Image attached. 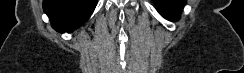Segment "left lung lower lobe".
Segmentation results:
<instances>
[{
	"mask_svg": "<svg viewBox=\"0 0 244 73\" xmlns=\"http://www.w3.org/2000/svg\"><path fill=\"white\" fill-rule=\"evenodd\" d=\"M158 12L166 19L175 21L185 4V0H153Z\"/></svg>",
	"mask_w": 244,
	"mask_h": 73,
	"instance_id": "0a47b994",
	"label": "left lung lower lobe"
}]
</instances>
